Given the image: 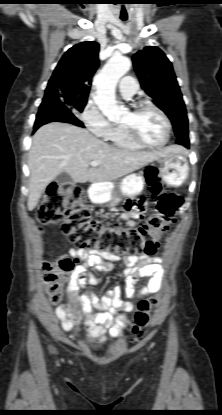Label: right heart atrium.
Instances as JSON below:
<instances>
[{
	"label": "right heart atrium",
	"instance_id": "d8ad5b80",
	"mask_svg": "<svg viewBox=\"0 0 222 415\" xmlns=\"http://www.w3.org/2000/svg\"><path fill=\"white\" fill-rule=\"evenodd\" d=\"M79 119L92 134L103 139H108L115 127L93 100L86 103Z\"/></svg>",
	"mask_w": 222,
	"mask_h": 415
}]
</instances>
